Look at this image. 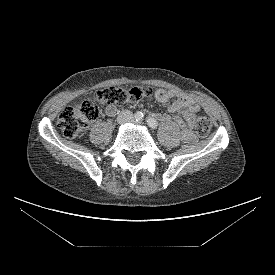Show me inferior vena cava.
<instances>
[{
	"instance_id": "obj_1",
	"label": "inferior vena cava",
	"mask_w": 275,
	"mask_h": 275,
	"mask_svg": "<svg viewBox=\"0 0 275 275\" xmlns=\"http://www.w3.org/2000/svg\"><path fill=\"white\" fill-rule=\"evenodd\" d=\"M123 114H127V115H128V117H129L126 121H129V119H131V118H132V113H131L130 111H124V112H123ZM121 117H122V115H121V116H119V120L121 119Z\"/></svg>"
}]
</instances>
